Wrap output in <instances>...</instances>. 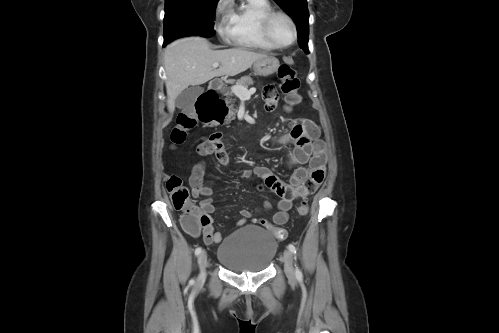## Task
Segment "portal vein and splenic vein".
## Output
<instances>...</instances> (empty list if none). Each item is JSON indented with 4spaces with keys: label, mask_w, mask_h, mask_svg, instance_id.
<instances>
[{
    "label": "portal vein and splenic vein",
    "mask_w": 499,
    "mask_h": 333,
    "mask_svg": "<svg viewBox=\"0 0 499 333\" xmlns=\"http://www.w3.org/2000/svg\"><path fill=\"white\" fill-rule=\"evenodd\" d=\"M219 63H213L212 67L217 68ZM232 92L240 99H249L250 96L255 92V89L248 90L246 87L241 85H234L231 88Z\"/></svg>",
    "instance_id": "18ae733b"
}]
</instances>
